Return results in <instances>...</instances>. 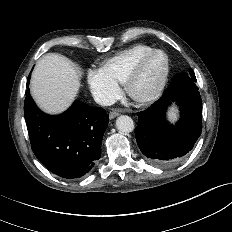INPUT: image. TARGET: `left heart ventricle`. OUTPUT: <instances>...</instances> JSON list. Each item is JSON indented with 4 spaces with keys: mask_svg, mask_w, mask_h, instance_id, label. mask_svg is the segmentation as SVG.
<instances>
[{
    "mask_svg": "<svg viewBox=\"0 0 232 232\" xmlns=\"http://www.w3.org/2000/svg\"><path fill=\"white\" fill-rule=\"evenodd\" d=\"M164 67V57L160 54L153 56L145 65L140 77L135 83L134 90L138 94L148 92L158 81Z\"/></svg>",
    "mask_w": 232,
    "mask_h": 232,
    "instance_id": "left-heart-ventricle-1",
    "label": "left heart ventricle"
}]
</instances>
